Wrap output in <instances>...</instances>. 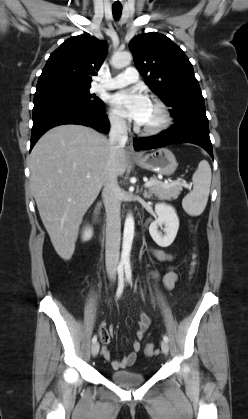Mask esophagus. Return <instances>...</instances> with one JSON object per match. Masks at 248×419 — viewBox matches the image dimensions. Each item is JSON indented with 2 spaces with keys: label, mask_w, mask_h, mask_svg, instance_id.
I'll return each instance as SVG.
<instances>
[{
  "label": "esophagus",
  "mask_w": 248,
  "mask_h": 419,
  "mask_svg": "<svg viewBox=\"0 0 248 419\" xmlns=\"http://www.w3.org/2000/svg\"><path fill=\"white\" fill-rule=\"evenodd\" d=\"M126 153L130 157L140 156V154L134 150L132 138H129L127 141Z\"/></svg>",
  "instance_id": "obj_1"
}]
</instances>
